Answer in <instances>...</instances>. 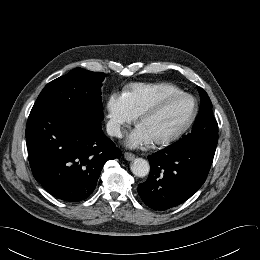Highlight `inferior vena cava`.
<instances>
[{
    "label": "inferior vena cava",
    "mask_w": 260,
    "mask_h": 260,
    "mask_svg": "<svg viewBox=\"0 0 260 260\" xmlns=\"http://www.w3.org/2000/svg\"><path fill=\"white\" fill-rule=\"evenodd\" d=\"M107 134L110 136L122 137V133L120 130V124L116 121L110 120L106 125Z\"/></svg>",
    "instance_id": "602c4592"
}]
</instances>
